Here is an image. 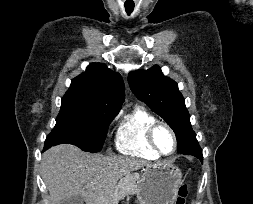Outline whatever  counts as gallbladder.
<instances>
[{
  "label": "gallbladder",
  "mask_w": 253,
  "mask_h": 204,
  "mask_svg": "<svg viewBox=\"0 0 253 204\" xmlns=\"http://www.w3.org/2000/svg\"><path fill=\"white\" fill-rule=\"evenodd\" d=\"M60 204H84V198L80 195L64 199Z\"/></svg>",
  "instance_id": "obj_1"
}]
</instances>
